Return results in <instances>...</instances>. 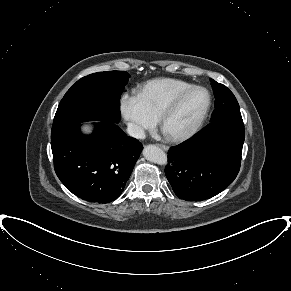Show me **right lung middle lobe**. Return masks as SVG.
Returning a JSON list of instances; mask_svg holds the SVG:
<instances>
[{
    "instance_id": "obj_1",
    "label": "right lung middle lobe",
    "mask_w": 291,
    "mask_h": 291,
    "mask_svg": "<svg viewBox=\"0 0 291 291\" xmlns=\"http://www.w3.org/2000/svg\"><path fill=\"white\" fill-rule=\"evenodd\" d=\"M130 75L125 71L93 73L78 80L56 111L51 139L85 121H120V96Z\"/></svg>"
}]
</instances>
